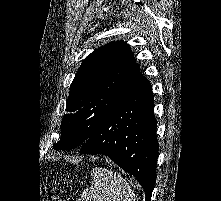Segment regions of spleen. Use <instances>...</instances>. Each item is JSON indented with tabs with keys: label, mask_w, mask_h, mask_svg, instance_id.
Here are the masks:
<instances>
[{
	"label": "spleen",
	"mask_w": 221,
	"mask_h": 201,
	"mask_svg": "<svg viewBox=\"0 0 221 201\" xmlns=\"http://www.w3.org/2000/svg\"><path fill=\"white\" fill-rule=\"evenodd\" d=\"M91 185L78 201H135V193L121 175L102 167L91 171Z\"/></svg>",
	"instance_id": "spleen-1"
}]
</instances>
